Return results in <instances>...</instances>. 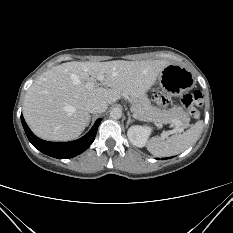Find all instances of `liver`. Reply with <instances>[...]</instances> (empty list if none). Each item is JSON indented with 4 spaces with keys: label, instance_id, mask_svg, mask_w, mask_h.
<instances>
[{
    "label": "liver",
    "instance_id": "obj_1",
    "mask_svg": "<svg viewBox=\"0 0 233 233\" xmlns=\"http://www.w3.org/2000/svg\"><path fill=\"white\" fill-rule=\"evenodd\" d=\"M166 61L67 62L41 74L27 90L23 115L38 137L48 141L77 138L89 121L85 104H112L122 96L141 98L153 86ZM108 89L97 87L98 76Z\"/></svg>",
    "mask_w": 233,
    "mask_h": 233
}]
</instances>
